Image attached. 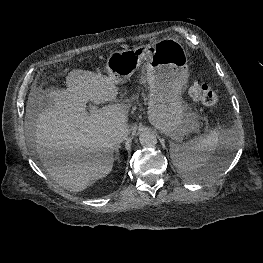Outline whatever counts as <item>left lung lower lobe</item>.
<instances>
[{"label":"left lung lower lobe","mask_w":263,"mask_h":263,"mask_svg":"<svg viewBox=\"0 0 263 263\" xmlns=\"http://www.w3.org/2000/svg\"><path fill=\"white\" fill-rule=\"evenodd\" d=\"M218 163L211 164L210 166H208L206 169H204L201 172H203L204 174H211V173L215 172L216 167L218 166Z\"/></svg>","instance_id":"1"}]
</instances>
